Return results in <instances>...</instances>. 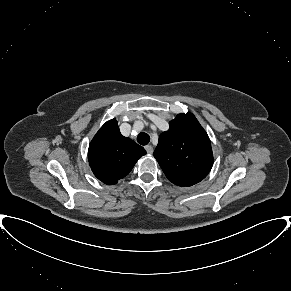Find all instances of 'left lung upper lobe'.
<instances>
[{"label": "left lung upper lobe", "mask_w": 291, "mask_h": 291, "mask_svg": "<svg viewBox=\"0 0 291 291\" xmlns=\"http://www.w3.org/2000/svg\"><path fill=\"white\" fill-rule=\"evenodd\" d=\"M169 125L159 137L154 157L172 183L192 186L212 168L210 139L191 113L177 115Z\"/></svg>", "instance_id": "1"}]
</instances>
